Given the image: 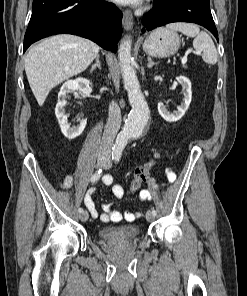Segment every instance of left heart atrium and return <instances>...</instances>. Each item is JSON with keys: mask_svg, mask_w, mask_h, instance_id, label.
Here are the masks:
<instances>
[{"mask_svg": "<svg viewBox=\"0 0 247 296\" xmlns=\"http://www.w3.org/2000/svg\"><path fill=\"white\" fill-rule=\"evenodd\" d=\"M115 2L123 5H137L141 0H114Z\"/></svg>", "mask_w": 247, "mask_h": 296, "instance_id": "1", "label": "left heart atrium"}]
</instances>
